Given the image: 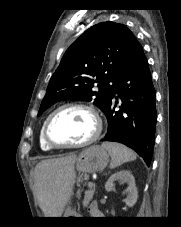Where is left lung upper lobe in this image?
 Returning a JSON list of instances; mask_svg holds the SVG:
<instances>
[{
    "label": "left lung upper lobe",
    "instance_id": "5c2ea615",
    "mask_svg": "<svg viewBox=\"0 0 181 227\" xmlns=\"http://www.w3.org/2000/svg\"><path fill=\"white\" fill-rule=\"evenodd\" d=\"M139 46L125 25L102 22L89 28L65 52L50 79L38 116L65 99L94 100L105 112L118 80Z\"/></svg>",
    "mask_w": 181,
    "mask_h": 227
}]
</instances>
